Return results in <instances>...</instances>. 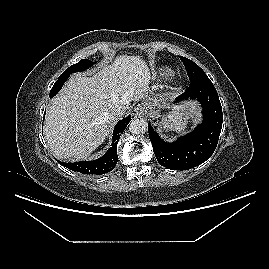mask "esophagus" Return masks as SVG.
Returning a JSON list of instances; mask_svg holds the SVG:
<instances>
[{
  "instance_id": "34e87169",
  "label": "esophagus",
  "mask_w": 269,
  "mask_h": 269,
  "mask_svg": "<svg viewBox=\"0 0 269 269\" xmlns=\"http://www.w3.org/2000/svg\"><path fill=\"white\" fill-rule=\"evenodd\" d=\"M132 114L134 117H144V115L146 114V110L143 106L138 105L137 107H135Z\"/></svg>"
}]
</instances>
